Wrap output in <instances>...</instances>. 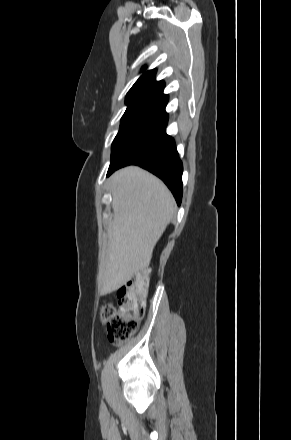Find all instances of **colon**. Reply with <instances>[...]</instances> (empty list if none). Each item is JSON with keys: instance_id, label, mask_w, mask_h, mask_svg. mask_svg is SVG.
<instances>
[{"instance_id": "obj_1", "label": "colon", "mask_w": 291, "mask_h": 440, "mask_svg": "<svg viewBox=\"0 0 291 440\" xmlns=\"http://www.w3.org/2000/svg\"><path fill=\"white\" fill-rule=\"evenodd\" d=\"M149 277L142 272L117 291V307L106 304L100 314V321L111 341L126 342L137 330L144 317V299L148 289Z\"/></svg>"}]
</instances>
